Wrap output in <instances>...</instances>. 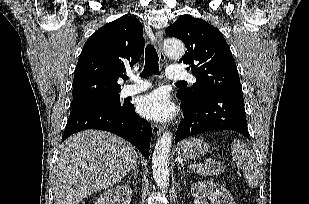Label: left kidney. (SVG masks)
<instances>
[{
	"mask_svg": "<svg viewBox=\"0 0 309 204\" xmlns=\"http://www.w3.org/2000/svg\"><path fill=\"white\" fill-rule=\"evenodd\" d=\"M191 194L198 199L208 198L212 204H235L227 189L214 181H202L193 184Z\"/></svg>",
	"mask_w": 309,
	"mask_h": 204,
	"instance_id": "left-kidney-1",
	"label": "left kidney"
}]
</instances>
